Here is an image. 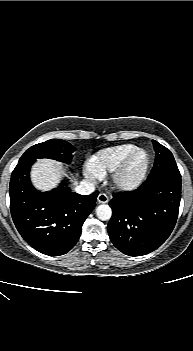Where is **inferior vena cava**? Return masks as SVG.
I'll return each mask as SVG.
<instances>
[{
    "label": "inferior vena cava",
    "instance_id": "1",
    "mask_svg": "<svg viewBox=\"0 0 193 351\" xmlns=\"http://www.w3.org/2000/svg\"><path fill=\"white\" fill-rule=\"evenodd\" d=\"M94 186L89 182H82L75 188V192L81 195H89L94 191Z\"/></svg>",
    "mask_w": 193,
    "mask_h": 351
}]
</instances>
